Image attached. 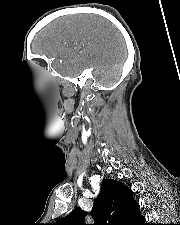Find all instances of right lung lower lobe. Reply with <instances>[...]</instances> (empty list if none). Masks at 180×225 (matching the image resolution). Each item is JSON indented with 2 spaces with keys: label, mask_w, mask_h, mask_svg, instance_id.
<instances>
[{
  "label": "right lung lower lobe",
  "mask_w": 180,
  "mask_h": 225,
  "mask_svg": "<svg viewBox=\"0 0 180 225\" xmlns=\"http://www.w3.org/2000/svg\"><path fill=\"white\" fill-rule=\"evenodd\" d=\"M137 225H148V224H145V218L143 217Z\"/></svg>",
  "instance_id": "1"
}]
</instances>
